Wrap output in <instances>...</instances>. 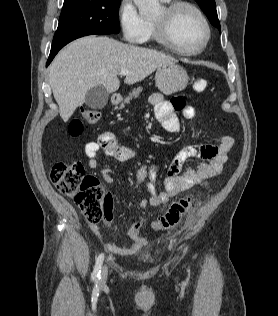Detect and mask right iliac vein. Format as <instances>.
Segmentation results:
<instances>
[{"label":"right iliac vein","mask_w":278,"mask_h":316,"mask_svg":"<svg viewBox=\"0 0 278 316\" xmlns=\"http://www.w3.org/2000/svg\"><path fill=\"white\" fill-rule=\"evenodd\" d=\"M107 275H108V269H107L106 266H104V267L102 268V273H101V275H100V283H101V284H103V283L106 282V280H107Z\"/></svg>","instance_id":"1"}]
</instances>
